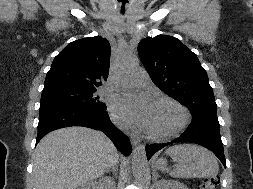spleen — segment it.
<instances>
[{
    "mask_svg": "<svg viewBox=\"0 0 253 189\" xmlns=\"http://www.w3.org/2000/svg\"><path fill=\"white\" fill-rule=\"evenodd\" d=\"M165 154L174 162L175 168L170 172L177 178L215 177L219 165L215 155L208 149L194 144H178L169 147Z\"/></svg>",
    "mask_w": 253,
    "mask_h": 189,
    "instance_id": "3e777b00",
    "label": "spleen"
}]
</instances>
